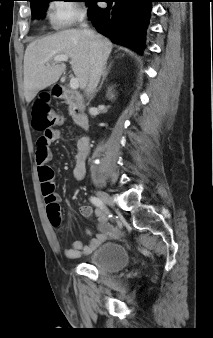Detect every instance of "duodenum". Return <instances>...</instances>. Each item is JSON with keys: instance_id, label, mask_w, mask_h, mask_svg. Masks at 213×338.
Returning a JSON list of instances; mask_svg holds the SVG:
<instances>
[{"instance_id": "1", "label": "duodenum", "mask_w": 213, "mask_h": 338, "mask_svg": "<svg viewBox=\"0 0 213 338\" xmlns=\"http://www.w3.org/2000/svg\"><path fill=\"white\" fill-rule=\"evenodd\" d=\"M53 95L56 99L65 100L70 104L73 116L79 127L86 129L90 126V118L86 113L83 97L80 93L63 86H56L53 89Z\"/></svg>"}]
</instances>
